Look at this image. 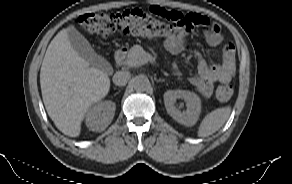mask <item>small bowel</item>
I'll list each match as a JSON object with an SVG mask.
<instances>
[{"label": "small bowel", "mask_w": 292, "mask_h": 184, "mask_svg": "<svg viewBox=\"0 0 292 184\" xmlns=\"http://www.w3.org/2000/svg\"><path fill=\"white\" fill-rule=\"evenodd\" d=\"M188 16L193 21V26L204 28L205 39L211 46L219 45L222 41V34L217 23L212 22L207 16L191 13ZM187 30H179L170 34L164 42L166 50L174 55H180L185 50V39ZM197 57V73L189 77L190 83L205 97L213 93L216 83L228 84L236 71L235 47L229 43L223 49L222 62L210 63L204 59L199 51H195ZM174 70L179 73L177 65Z\"/></svg>", "instance_id": "small-bowel-1"}]
</instances>
